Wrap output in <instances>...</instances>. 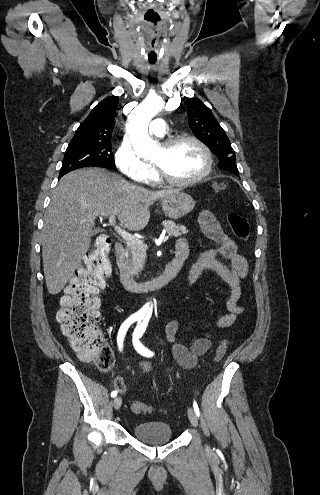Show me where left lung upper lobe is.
<instances>
[{"label":"left lung upper lobe","instance_id":"obj_1","mask_svg":"<svg viewBox=\"0 0 320 495\" xmlns=\"http://www.w3.org/2000/svg\"><path fill=\"white\" fill-rule=\"evenodd\" d=\"M186 106L190 128L196 137L219 158L218 167L238 176L234 150L211 110L197 98L188 99Z\"/></svg>","mask_w":320,"mask_h":495}]
</instances>
